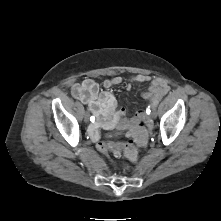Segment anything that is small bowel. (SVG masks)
<instances>
[{"mask_svg":"<svg viewBox=\"0 0 221 221\" xmlns=\"http://www.w3.org/2000/svg\"><path fill=\"white\" fill-rule=\"evenodd\" d=\"M131 81L136 84L150 82L148 90L143 93V97L149 100H156L169 90V85L163 78L151 79L148 75L136 74L131 77ZM121 83L122 78L120 76L105 79L103 82L105 90L101 92H99L98 84L92 79H86L82 83L72 86V95L86 104L96 117V122L89 127V135L94 141L100 138L101 130H113L127 115V110L119 107L117 99L108 90ZM143 118L144 113L138 112L133 123H142Z\"/></svg>","mask_w":221,"mask_h":221,"instance_id":"small-bowel-1","label":"small bowel"}]
</instances>
